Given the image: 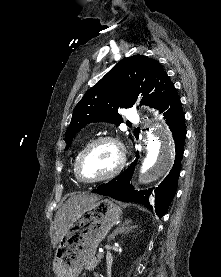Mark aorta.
I'll return each instance as SVG.
<instances>
[{"instance_id": "aorta-1", "label": "aorta", "mask_w": 221, "mask_h": 277, "mask_svg": "<svg viewBox=\"0 0 221 277\" xmlns=\"http://www.w3.org/2000/svg\"><path fill=\"white\" fill-rule=\"evenodd\" d=\"M158 130L146 132V157L141 166L140 184H148L165 175L174 161V145L168 127L161 120H156Z\"/></svg>"}]
</instances>
